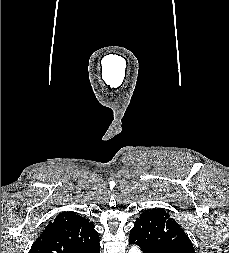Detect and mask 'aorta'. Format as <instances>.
Returning a JSON list of instances; mask_svg holds the SVG:
<instances>
[{
	"label": "aorta",
	"mask_w": 229,
	"mask_h": 253,
	"mask_svg": "<svg viewBox=\"0 0 229 253\" xmlns=\"http://www.w3.org/2000/svg\"><path fill=\"white\" fill-rule=\"evenodd\" d=\"M128 253H142V251L138 246L134 245L129 249Z\"/></svg>",
	"instance_id": "aorta-1"
}]
</instances>
